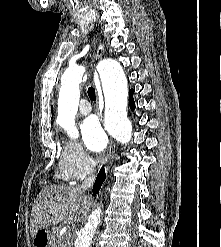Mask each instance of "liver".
<instances>
[{"label":"liver","mask_w":221,"mask_h":247,"mask_svg":"<svg viewBox=\"0 0 221 247\" xmlns=\"http://www.w3.org/2000/svg\"><path fill=\"white\" fill-rule=\"evenodd\" d=\"M88 197L80 188L49 185L37 196L31 219V235L39 229L65 222L73 224L89 205Z\"/></svg>","instance_id":"6515ba94"}]
</instances>
